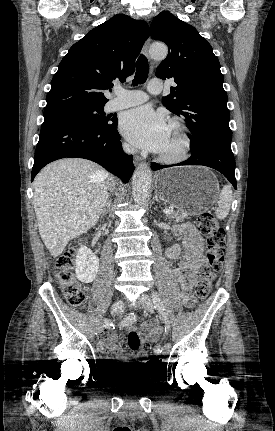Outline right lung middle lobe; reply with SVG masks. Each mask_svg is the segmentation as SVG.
Listing matches in <instances>:
<instances>
[{"mask_svg": "<svg viewBox=\"0 0 275 431\" xmlns=\"http://www.w3.org/2000/svg\"><path fill=\"white\" fill-rule=\"evenodd\" d=\"M104 105L74 107L44 113V121L51 119H72L92 126H105L111 124L115 117L105 115Z\"/></svg>", "mask_w": 275, "mask_h": 431, "instance_id": "1", "label": "right lung middle lobe"}]
</instances>
